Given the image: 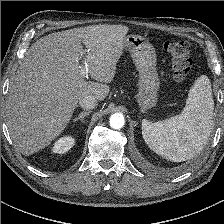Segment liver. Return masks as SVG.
<instances>
[{
    "mask_svg": "<svg viewBox=\"0 0 224 224\" xmlns=\"http://www.w3.org/2000/svg\"><path fill=\"white\" fill-rule=\"evenodd\" d=\"M128 31L122 25L87 26L51 33L31 45L10 83L6 111L9 133L23 155L61 135L80 99L107 97ZM81 43L88 73L98 82L80 76Z\"/></svg>",
    "mask_w": 224,
    "mask_h": 224,
    "instance_id": "1",
    "label": "liver"
}]
</instances>
